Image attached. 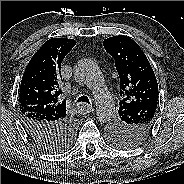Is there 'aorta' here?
Returning <instances> with one entry per match:
<instances>
[{
  "instance_id": "1",
  "label": "aorta",
  "mask_w": 184,
  "mask_h": 184,
  "mask_svg": "<svg viewBox=\"0 0 184 184\" xmlns=\"http://www.w3.org/2000/svg\"><path fill=\"white\" fill-rule=\"evenodd\" d=\"M74 75L79 82L92 91L97 119L100 122L110 121L116 113V107L99 66L90 59H81L74 66Z\"/></svg>"
}]
</instances>
